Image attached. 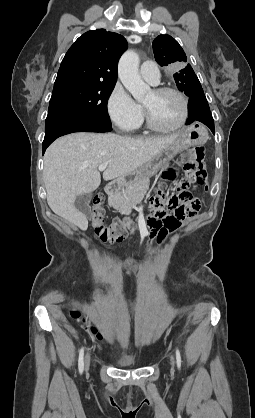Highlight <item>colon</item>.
<instances>
[{"instance_id":"5ec220e1","label":"colon","mask_w":255,"mask_h":418,"mask_svg":"<svg viewBox=\"0 0 255 418\" xmlns=\"http://www.w3.org/2000/svg\"><path fill=\"white\" fill-rule=\"evenodd\" d=\"M205 150L198 146L183 155L182 164L184 179L180 182L178 192L169 197L166 201L167 206L172 210V214H167L164 208L165 197L161 192H157L151 200L152 214L147 219V224L154 231V235L159 238L165 235L164 230H172L178 221H186L198 211L200 202L190 192L191 185L206 187L208 175L205 168ZM165 179V175H164ZM91 222L96 235L107 244L113 245L121 242L125 235V226L120 220H114L111 224L104 223L103 198L96 196L92 205ZM73 317H79L80 311L77 307L71 309Z\"/></svg>"}]
</instances>
